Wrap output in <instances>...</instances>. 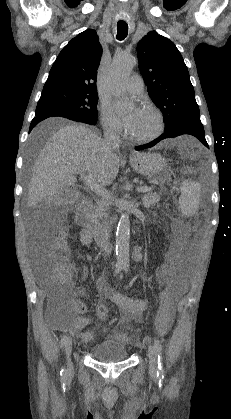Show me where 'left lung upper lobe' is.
<instances>
[{
	"label": "left lung upper lobe",
	"mask_w": 231,
	"mask_h": 419,
	"mask_svg": "<svg viewBox=\"0 0 231 419\" xmlns=\"http://www.w3.org/2000/svg\"><path fill=\"white\" fill-rule=\"evenodd\" d=\"M137 53L148 93L164 114L165 132L200 121L189 72L175 44L151 31L138 43Z\"/></svg>",
	"instance_id": "1"
}]
</instances>
